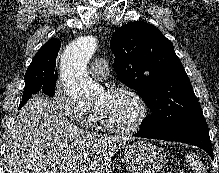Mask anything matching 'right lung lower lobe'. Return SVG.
<instances>
[{
  "mask_svg": "<svg viewBox=\"0 0 219 173\" xmlns=\"http://www.w3.org/2000/svg\"><path fill=\"white\" fill-rule=\"evenodd\" d=\"M30 97H31V96L22 99V101H21V103H20V105H19V109L22 108V106L29 100Z\"/></svg>",
  "mask_w": 219,
  "mask_h": 173,
  "instance_id": "obj_1",
  "label": "right lung lower lobe"
}]
</instances>
